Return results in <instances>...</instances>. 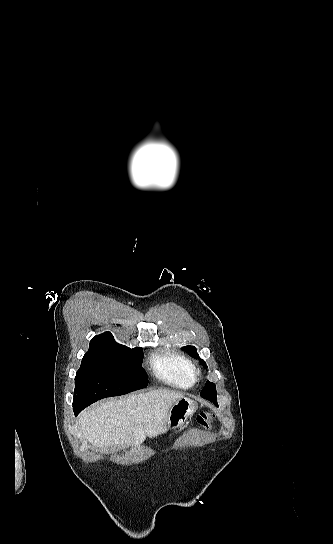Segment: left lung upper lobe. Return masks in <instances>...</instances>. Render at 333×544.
I'll list each match as a JSON object with an SVG mask.
<instances>
[{"label":"left lung upper lobe","instance_id":"left-lung-upper-lobe-1","mask_svg":"<svg viewBox=\"0 0 333 544\" xmlns=\"http://www.w3.org/2000/svg\"><path fill=\"white\" fill-rule=\"evenodd\" d=\"M183 349L186 352H188L191 356L195 358H199L196 352V348L194 346H185L183 347ZM199 360H200V363L203 364L205 368H207L205 361L200 358ZM211 393H216V385L212 382L207 381L206 385L204 386V388L202 389L200 393V396L203 397L204 395L211 394Z\"/></svg>","mask_w":333,"mask_h":544}]
</instances>
